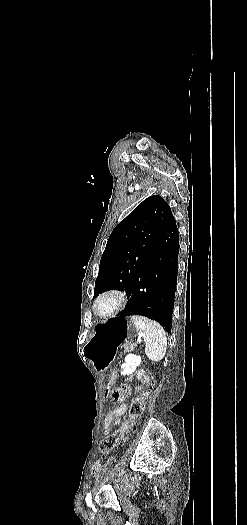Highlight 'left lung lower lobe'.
<instances>
[{
  "mask_svg": "<svg viewBox=\"0 0 247 525\" xmlns=\"http://www.w3.org/2000/svg\"><path fill=\"white\" fill-rule=\"evenodd\" d=\"M175 218L154 240L145 266L127 291L130 300L118 319L142 315L159 322L171 333L179 253Z\"/></svg>",
  "mask_w": 247,
  "mask_h": 525,
  "instance_id": "left-lung-lower-lobe-1",
  "label": "left lung lower lobe"
}]
</instances>
